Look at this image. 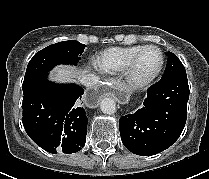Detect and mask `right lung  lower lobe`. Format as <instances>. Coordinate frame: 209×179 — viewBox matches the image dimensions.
I'll return each instance as SVG.
<instances>
[{
  "instance_id": "right-lung-lower-lobe-1",
  "label": "right lung lower lobe",
  "mask_w": 209,
  "mask_h": 179,
  "mask_svg": "<svg viewBox=\"0 0 209 179\" xmlns=\"http://www.w3.org/2000/svg\"><path fill=\"white\" fill-rule=\"evenodd\" d=\"M47 74L24 92L22 123L28 136L52 154L75 153L86 142L87 117L79 101L84 90L76 84L57 85Z\"/></svg>"
}]
</instances>
